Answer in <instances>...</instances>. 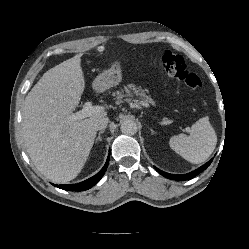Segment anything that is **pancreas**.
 Returning a JSON list of instances; mask_svg holds the SVG:
<instances>
[{
  "mask_svg": "<svg viewBox=\"0 0 249 249\" xmlns=\"http://www.w3.org/2000/svg\"><path fill=\"white\" fill-rule=\"evenodd\" d=\"M147 90L141 87H136L133 84H129L119 91L113 92V96L119 103L128 102L130 104L147 105L152 104L153 100L150 95L146 94Z\"/></svg>",
  "mask_w": 249,
  "mask_h": 249,
  "instance_id": "cf45deb5",
  "label": "pancreas"
}]
</instances>
